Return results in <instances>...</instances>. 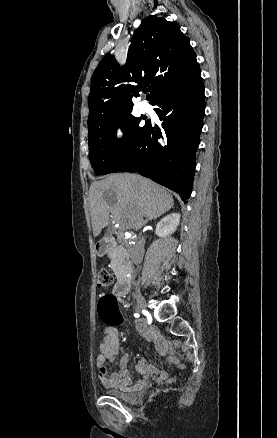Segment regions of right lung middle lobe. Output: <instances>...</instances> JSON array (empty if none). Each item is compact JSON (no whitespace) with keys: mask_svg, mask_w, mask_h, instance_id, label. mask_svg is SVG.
<instances>
[{"mask_svg":"<svg viewBox=\"0 0 277 438\" xmlns=\"http://www.w3.org/2000/svg\"><path fill=\"white\" fill-rule=\"evenodd\" d=\"M141 119L129 114L88 126L89 159L97 175L113 173L132 152L148 127L149 121L143 126ZM118 127L124 132L122 140L116 137Z\"/></svg>","mask_w":277,"mask_h":438,"instance_id":"right-lung-middle-lobe-1","label":"right lung middle lobe"}]
</instances>
